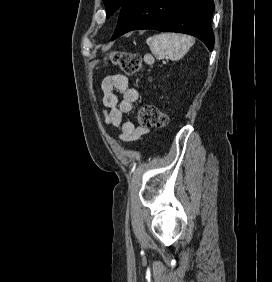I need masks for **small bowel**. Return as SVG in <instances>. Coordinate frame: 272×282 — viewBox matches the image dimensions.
Instances as JSON below:
<instances>
[{"label":"small bowel","mask_w":272,"mask_h":282,"mask_svg":"<svg viewBox=\"0 0 272 282\" xmlns=\"http://www.w3.org/2000/svg\"><path fill=\"white\" fill-rule=\"evenodd\" d=\"M104 122L120 131V139L124 142L139 140L149 131L147 126L136 127L131 121H124L133 104L139 97L137 86H130L127 76L113 73L106 76L101 84Z\"/></svg>","instance_id":"obj_1"}]
</instances>
